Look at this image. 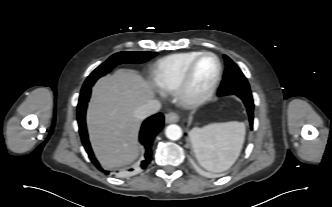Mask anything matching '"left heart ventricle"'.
Wrapping results in <instances>:
<instances>
[{"label": "left heart ventricle", "instance_id": "1", "mask_svg": "<svg viewBox=\"0 0 332 207\" xmlns=\"http://www.w3.org/2000/svg\"><path fill=\"white\" fill-rule=\"evenodd\" d=\"M217 70V63L213 57L207 56L197 64L193 79L192 89L194 92L205 91L212 83Z\"/></svg>", "mask_w": 332, "mask_h": 207}]
</instances>
